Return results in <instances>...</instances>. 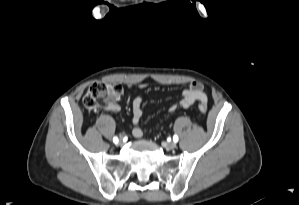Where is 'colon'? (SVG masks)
<instances>
[{"label": "colon", "mask_w": 299, "mask_h": 205, "mask_svg": "<svg viewBox=\"0 0 299 205\" xmlns=\"http://www.w3.org/2000/svg\"><path fill=\"white\" fill-rule=\"evenodd\" d=\"M123 94L120 84L95 82L88 88L84 98L83 107L87 114H94L100 108H108L115 104ZM198 108L202 114L207 113V104L199 102Z\"/></svg>", "instance_id": "5ec220e1"}]
</instances>
